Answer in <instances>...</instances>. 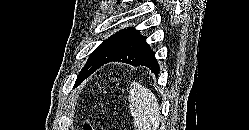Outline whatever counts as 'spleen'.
<instances>
[{
	"label": "spleen",
	"mask_w": 249,
	"mask_h": 130,
	"mask_svg": "<svg viewBox=\"0 0 249 130\" xmlns=\"http://www.w3.org/2000/svg\"><path fill=\"white\" fill-rule=\"evenodd\" d=\"M129 107L136 130H157L161 122L156 96L139 83H133L129 93Z\"/></svg>",
	"instance_id": "obj_1"
}]
</instances>
